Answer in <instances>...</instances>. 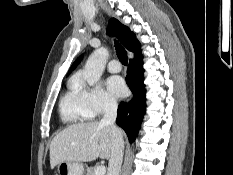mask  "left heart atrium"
I'll return each mask as SVG.
<instances>
[{
  "instance_id": "left-heart-atrium-1",
  "label": "left heart atrium",
  "mask_w": 233,
  "mask_h": 175,
  "mask_svg": "<svg viewBox=\"0 0 233 175\" xmlns=\"http://www.w3.org/2000/svg\"><path fill=\"white\" fill-rule=\"evenodd\" d=\"M107 86L112 94L117 97H125L127 94V87L124 81L119 77H111L107 81Z\"/></svg>"
}]
</instances>
